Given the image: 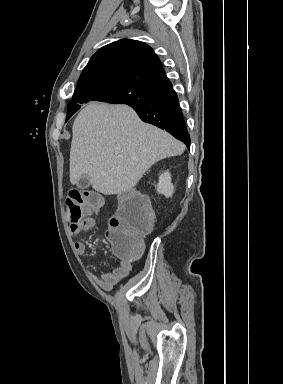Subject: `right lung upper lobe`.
<instances>
[{
  "label": "right lung upper lobe",
  "instance_id": "cb5924a9",
  "mask_svg": "<svg viewBox=\"0 0 283 384\" xmlns=\"http://www.w3.org/2000/svg\"><path fill=\"white\" fill-rule=\"evenodd\" d=\"M168 81L151 47L140 41L123 39L102 47L92 56L76 89L120 83L154 92Z\"/></svg>",
  "mask_w": 283,
  "mask_h": 384
}]
</instances>
